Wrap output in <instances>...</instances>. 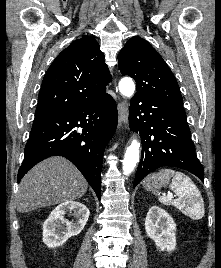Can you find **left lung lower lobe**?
I'll return each instance as SVG.
<instances>
[{
	"label": "left lung lower lobe",
	"instance_id": "0a47b994",
	"mask_svg": "<svg viewBox=\"0 0 221 268\" xmlns=\"http://www.w3.org/2000/svg\"><path fill=\"white\" fill-rule=\"evenodd\" d=\"M129 125L141 135L142 155L134 187L150 172L173 166L190 171L204 182L183 103L135 95L129 107Z\"/></svg>",
	"mask_w": 221,
	"mask_h": 268
}]
</instances>
